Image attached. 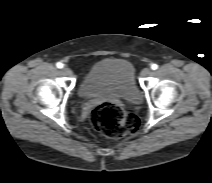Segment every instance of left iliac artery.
I'll list each match as a JSON object with an SVG mask.
<instances>
[{"instance_id":"obj_1","label":"left iliac artery","mask_w":212,"mask_h":183,"mask_svg":"<svg viewBox=\"0 0 212 183\" xmlns=\"http://www.w3.org/2000/svg\"><path fill=\"white\" fill-rule=\"evenodd\" d=\"M157 68H158V65H157V64H152V65H151V69H152V70H156Z\"/></svg>"}]
</instances>
